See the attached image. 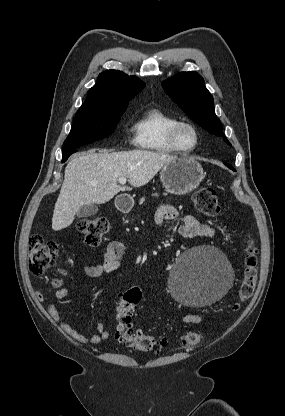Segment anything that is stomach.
<instances>
[{
  "instance_id": "obj_1",
  "label": "stomach",
  "mask_w": 285,
  "mask_h": 416,
  "mask_svg": "<svg viewBox=\"0 0 285 416\" xmlns=\"http://www.w3.org/2000/svg\"><path fill=\"white\" fill-rule=\"evenodd\" d=\"M203 178V168L193 158H176L163 166L160 172V180L166 192L175 196L193 192Z\"/></svg>"
}]
</instances>
